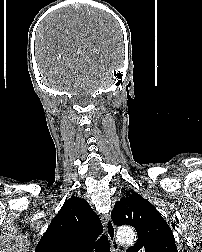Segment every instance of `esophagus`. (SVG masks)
<instances>
[{"label":"esophagus","instance_id":"34e87169","mask_svg":"<svg viewBox=\"0 0 202 252\" xmlns=\"http://www.w3.org/2000/svg\"><path fill=\"white\" fill-rule=\"evenodd\" d=\"M101 218L104 221L105 231H106V234L111 242L113 251L117 252L118 244H117L116 237H115V226H114V224L108 214L101 216Z\"/></svg>","mask_w":202,"mask_h":252}]
</instances>
